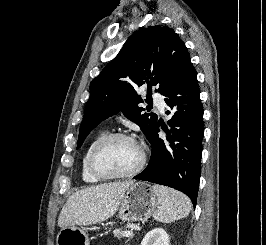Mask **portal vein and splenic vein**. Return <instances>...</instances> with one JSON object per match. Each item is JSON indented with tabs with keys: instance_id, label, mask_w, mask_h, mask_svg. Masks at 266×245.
Masks as SVG:
<instances>
[{
	"instance_id": "obj_1",
	"label": "portal vein and splenic vein",
	"mask_w": 266,
	"mask_h": 245,
	"mask_svg": "<svg viewBox=\"0 0 266 245\" xmlns=\"http://www.w3.org/2000/svg\"><path fill=\"white\" fill-rule=\"evenodd\" d=\"M122 237H133V231H123Z\"/></svg>"
}]
</instances>
